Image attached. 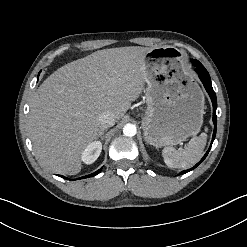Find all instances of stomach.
Listing matches in <instances>:
<instances>
[{
	"label": "stomach",
	"mask_w": 247,
	"mask_h": 247,
	"mask_svg": "<svg viewBox=\"0 0 247 247\" xmlns=\"http://www.w3.org/2000/svg\"><path fill=\"white\" fill-rule=\"evenodd\" d=\"M147 84L142 128L147 143L174 146L201 128L204 95L185 70L178 49L170 46L149 50L144 59Z\"/></svg>",
	"instance_id": "1"
}]
</instances>
